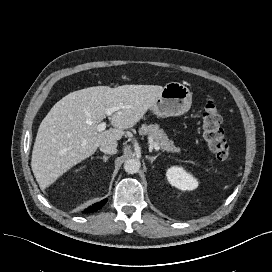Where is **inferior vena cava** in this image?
<instances>
[{
  "label": "inferior vena cava",
  "instance_id": "inferior-vena-cava-1",
  "mask_svg": "<svg viewBox=\"0 0 272 272\" xmlns=\"http://www.w3.org/2000/svg\"><path fill=\"white\" fill-rule=\"evenodd\" d=\"M100 150L105 154H116L117 153V143H104L100 146Z\"/></svg>",
  "mask_w": 272,
  "mask_h": 272
}]
</instances>
